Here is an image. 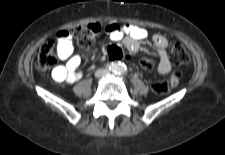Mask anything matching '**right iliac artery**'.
<instances>
[{"label": "right iliac artery", "mask_w": 225, "mask_h": 155, "mask_svg": "<svg viewBox=\"0 0 225 155\" xmlns=\"http://www.w3.org/2000/svg\"><path fill=\"white\" fill-rule=\"evenodd\" d=\"M106 68L109 69V70H111V71H113V72H116L119 69L118 65L115 64V63H112L110 65L107 64Z\"/></svg>", "instance_id": "82829eb1"}]
</instances>
